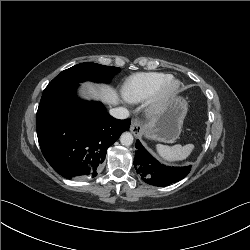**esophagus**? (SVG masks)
<instances>
[{"label":"esophagus","instance_id":"1","mask_svg":"<svg viewBox=\"0 0 250 250\" xmlns=\"http://www.w3.org/2000/svg\"><path fill=\"white\" fill-rule=\"evenodd\" d=\"M130 131L135 135L138 136L141 133V126L137 119H132L131 125H130Z\"/></svg>","mask_w":250,"mask_h":250}]
</instances>
